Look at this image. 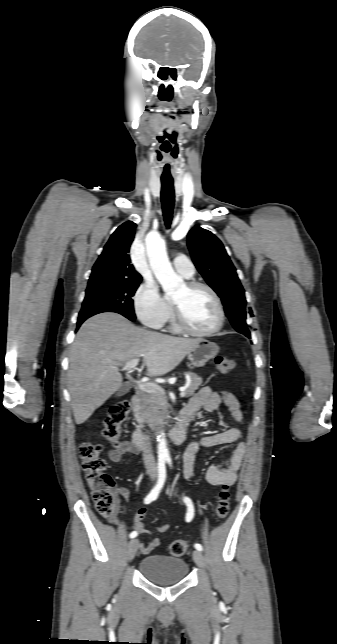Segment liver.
<instances>
[{
  "mask_svg": "<svg viewBox=\"0 0 337 644\" xmlns=\"http://www.w3.org/2000/svg\"><path fill=\"white\" fill-rule=\"evenodd\" d=\"M198 342L138 328L116 313L86 320L70 348L67 373L76 424L84 423L122 386L119 365L142 357L148 375L162 376Z\"/></svg>",
  "mask_w": 337,
  "mask_h": 644,
  "instance_id": "1",
  "label": "liver"
}]
</instances>
